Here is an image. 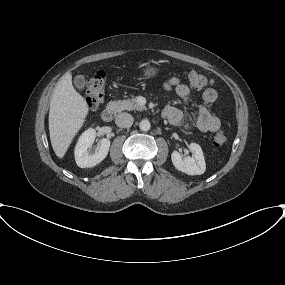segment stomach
I'll list each match as a JSON object with an SVG mask.
<instances>
[{
    "label": "stomach",
    "instance_id": "obj_1",
    "mask_svg": "<svg viewBox=\"0 0 285 285\" xmlns=\"http://www.w3.org/2000/svg\"><path fill=\"white\" fill-rule=\"evenodd\" d=\"M160 69L153 66V65H148L143 69V75L146 78L154 77L159 73Z\"/></svg>",
    "mask_w": 285,
    "mask_h": 285
}]
</instances>
